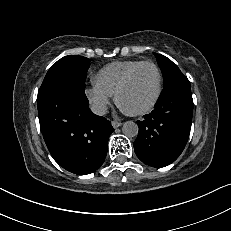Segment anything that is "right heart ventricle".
I'll list each match as a JSON object with an SVG mask.
<instances>
[{
    "mask_svg": "<svg viewBox=\"0 0 231 231\" xmlns=\"http://www.w3.org/2000/svg\"><path fill=\"white\" fill-rule=\"evenodd\" d=\"M140 62L142 61L124 60L109 63L96 73L95 84L110 95H114L128 72Z\"/></svg>",
    "mask_w": 231,
    "mask_h": 231,
    "instance_id": "e07e8e85",
    "label": "right heart ventricle"
}]
</instances>
